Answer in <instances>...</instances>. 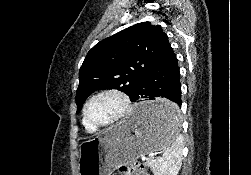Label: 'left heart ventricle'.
Here are the masks:
<instances>
[{"label": "left heart ventricle", "instance_id": "1", "mask_svg": "<svg viewBox=\"0 0 251 175\" xmlns=\"http://www.w3.org/2000/svg\"><path fill=\"white\" fill-rule=\"evenodd\" d=\"M124 105L118 94L105 93L95 98L88 108V126L108 125L123 113Z\"/></svg>", "mask_w": 251, "mask_h": 175}]
</instances>
